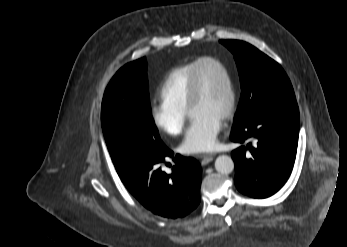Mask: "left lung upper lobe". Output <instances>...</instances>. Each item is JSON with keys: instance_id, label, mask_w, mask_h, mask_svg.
<instances>
[{"instance_id": "1", "label": "left lung upper lobe", "mask_w": 347, "mask_h": 247, "mask_svg": "<svg viewBox=\"0 0 347 247\" xmlns=\"http://www.w3.org/2000/svg\"><path fill=\"white\" fill-rule=\"evenodd\" d=\"M220 42L233 53L240 76L242 92L233 127L242 125L271 103L296 100L292 85L277 62L246 42Z\"/></svg>"}]
</instances>
